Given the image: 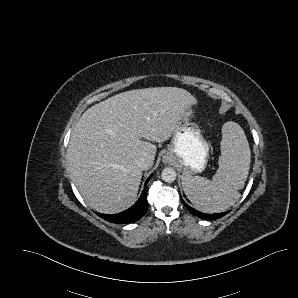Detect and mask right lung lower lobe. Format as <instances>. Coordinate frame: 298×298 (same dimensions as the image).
I'll use <instances>...</instances> for the list:
<instances>
[{"label": "right lung lower lobe", "instance_id": "98d812e1", "mask_svg": "<svg viewBox=\"0 0 298 298\" xmlns=\"http://www.w3.org/2000/svg\"><path fill=\"white\" fill-rule=\"evenodd\" d=\"M152 175L147 179L146 183L151 179ZM148 209V201H147V189L146 186L144 188V191L142 192L140 198L138 201L129 209L113 215H105V214H96L103 218L104 220H107L112 223H132L137 220H139L147 211Z\"/></svg>", "mask_w": 298, "mask_h": 298}]
</instances>
